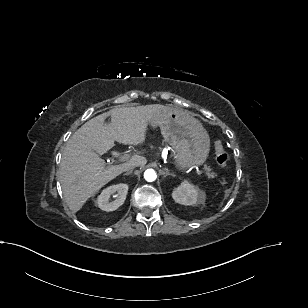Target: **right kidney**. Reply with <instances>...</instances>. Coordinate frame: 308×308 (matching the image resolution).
Segmentation results:
<instances>
[{
    "label": "right kidney",
    "mask_w": 308,
    "mask_h": 308,
    "mask_svg": "<svg viewBox=\"0 0 308 308\" xmlns=\"http://www.w3.org/2000/svg\"><path fill=\"white\" fill-rule=\"evenodd\" d=\"M116 193V199L110 202V196ZM128 193V185L120 183L104 189L97 198V205L101 210L110 212L118 209L125 201Z\"/></svg>",
    "instance_id": "ca27d5eb"
}]
</instances>
